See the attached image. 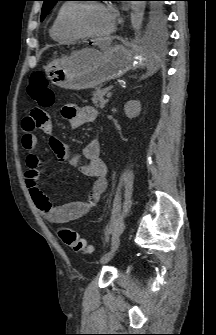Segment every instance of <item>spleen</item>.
<instances>
[{"label":"spleen","mask_w":216,"mask_h":335,"mask_svg":"<svg viewBox=\"0 0 216 335\" xmlns=\"http://www.w3.org/2000/svg\"><path fill=\"white\" fill-rule=\"evenodd\" d=\"M147 68H148V72L150 74H153L155 72L156 67H155L154 62L152 60H148Z\"/></svg>","instance_id":"1"}]
</instances>
